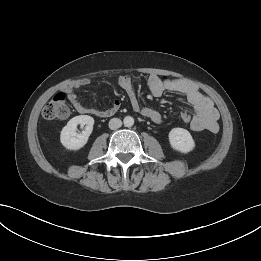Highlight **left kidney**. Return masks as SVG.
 Returning <instances> with one entry per match:
<instances>
[{
	"instance_id": "5707ae66",
	"label": "left kidney",
	"mask_w": 261,
	"mask_h": 261,
	"mask_svg": "<svg viewBox=\"0 0 261 261\" xmlns=\"http://www.w3.org/2000/svg\"><path fill=\"white\" fill-rule=\"evenodd\" d=\"M169 142L173 149L181 153H188L195 148L191 134L183 128H173L169 132Z\"/></svg>"
}]
</instances>
